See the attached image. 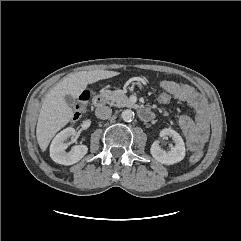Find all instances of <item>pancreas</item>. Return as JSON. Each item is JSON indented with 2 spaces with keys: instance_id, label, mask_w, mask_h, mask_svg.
Masks as SVG:
<instances>
[{
  "instance_id": "cf45deb5",
  "label": "pancreas",
  "mask_w": 241,
  "mask_h": 241,
  "mask_svg": "<svg viewBox=\"0 0 241 241\" xmlns=\"http://www.w3.org/2000/svg\"><path fill=\"white\" fill-rule=\"evenodd\" d=\"M101 96L111 106L125 107L130 106L129 98L121 91L103 90Z\"/></svg>"
}]
</instances>
